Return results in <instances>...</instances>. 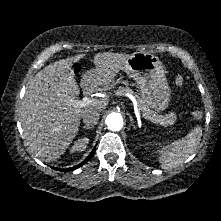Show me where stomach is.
Returning a JSON list of instances; mask_svg holds the SVG:
<instances>
[{
  "label": "stomach",
  "mask_w": 221,
  "mask_h": 221,
  "mask_svg": "<svg viewBox=\"0 0 221 221\" xmlns=\"http://www.w3.org/2000/svg\"><path fill=\"white\" fill-rule=\"evenodd\" d=\"M126 74L136 81L144 103L156 110H164L170 102L171 90L163 65L158 57L147 52H135L126 60ZM92 71L83 75L82 85H88Z\"/></svg>",
  "instance_id": "1"
}]
</instances>
